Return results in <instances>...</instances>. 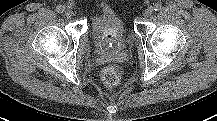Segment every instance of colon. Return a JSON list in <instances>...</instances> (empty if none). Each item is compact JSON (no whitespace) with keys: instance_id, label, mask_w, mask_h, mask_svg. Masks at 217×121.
<instances>
[{"instance_id":"5ec220e1","label":"colon","mask_w":217,"mask_h":121,"mask_svg":"<svg viewBox=\"0 0 217 121\" xmlns=\"http://www.w3.org/2000/svg\"><path fill=\"white\" fill-rule=\"evenodd\" d=\"M124 68L118 64L107 65L101 72V79L107 86H115L124 76Z\"/></svg>"}]
</instances>
